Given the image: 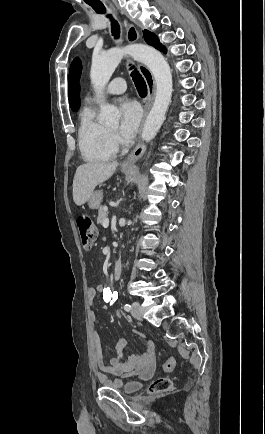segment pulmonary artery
<instances>
[{"instance_id":"1","label":"pulmonary artery","mask_w":265,"mask_h":434,"mask_svg":"<svg viewBox=\"0 0 265 434\" xmlns=\"http://www.w3.org/2000/svg\"><path fill=\"white\" fill-rule=\"evenodd\" d=\"M127 87H128V84H127V81H125V78L117 77V78L113 79V81L111 82L108 91L110 93H114V94H121L125 90H127ZM99 99H100V95H96L94 97V101H98Z\"/></svg>"}]
</instances>
